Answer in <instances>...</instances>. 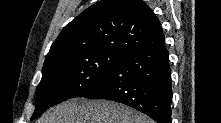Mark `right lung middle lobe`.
I'll list each match as a JSON object with an SVG mask.
<instances>
[{"label": "right lung middle lobe", "mask_w": 221, "mask_h": 123, "mask_svg": "<svg viewBox=\"0 0 221 123\" xmlns=\"http://www.w3.org/2000/svg\"><path fill=\"white\" fill-rule=\"evenodd\" d=\"M126 56L110 49H92L44 63L31 119L39 117L54 104L95 91Z\"/></svg>", "instance_id": "dd1d6c3e"}]
</instances>
